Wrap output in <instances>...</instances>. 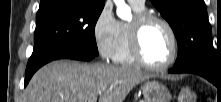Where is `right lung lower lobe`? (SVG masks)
<instances>
[{"instance_id":"right-lung-lower-lobe-1","label":"right lung lower lobe","mask_w":221,"mask_h":102,"mask_svg":"<svg viewBox=\"0 0 221 102\" xmlns=\"http://www.w3.org/2000/svg\"><path fill=\"white\" fill-rule=\"evenodd\" d=\"M95 55L90 54L89 52L76 50V49H69L63 50L55 55L48 57L47 59L41 61L37 65L32 68H26L25 72V86L28 84L29 80L31 79L32 75L44 64L57 59H75L81 61H89L93 59Z\"/></svg>"}]
</instances>
